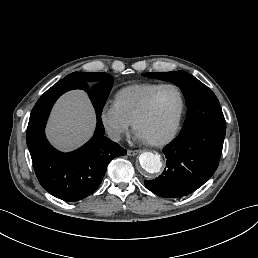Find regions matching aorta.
Instances as JSON below:
<instances>
[{
	"label": "aorta",
	"instance_id": "1",
	"mask_svg": "<svg viewBox=\"0 0 258 258\" xmlns=\"http://www.w3.org/2000/svg\"><path fill=\"white\" fill-rule=\"evenodd\" d=\"M141 167L148 173L154 174L160 172L162 161L160 155L152 152H144L139 156Z\"/></svg>",
	"mask_w": 258,
	"mask_h": 258
}]
</instances>
